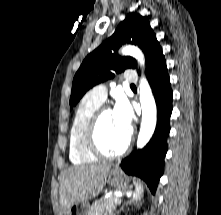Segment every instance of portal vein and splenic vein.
<instances>
[{
  "mask_svg": "<svg viewBox=\"0 0 221 215\" xmlns=\"http://www.w3.org/2000/svg\"><path fill=\"white\" fill-rule=\"evenodd\" d=\"M121 201H122V200H121V198H119V197H118V198H116V199H115V201H114V202H115L116 204H120V203H121Z\"/></svg>",
  "mask_w": 221,
  "mask_h": 215,
  "instance_id": "obj_1",
  "label": "portal vein and splenic vein"
}]
</instances>
